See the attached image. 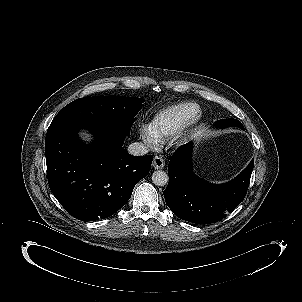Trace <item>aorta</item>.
<instances>
[{
  "label": "aorta",
  "mask_w": 302,
  "mask_h": 302,
  "mask_svg": "<svg viewBox=\"0 0 302 302\" xmlns=\"http://www.w3.org/2000/svg\"><path fill=\"white\" fill-rule=\"evenodd\" d=\"M169 176L165 171L157 170L152 174V182L156 186H165L168 183Z\"/></svg>",
  "instance_id": "aorta-1"
}]
</instances>
